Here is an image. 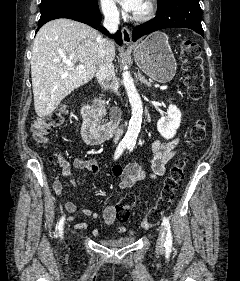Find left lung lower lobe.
Listing matches in <instances>:
<instances>
[{
	"label": "left lung lower lobe",
	"mask_w": 240,
	"mask_h": 281,
	"mask_svg": "<svg viewBox=\"0 0 240 281\" xmlns=\"http://www.w3.org/2000/svg\"><path fill=\"white\" fill-rule=\"evenodd\" d=\"M170 27L189 28L204 36L199 0L162 1L158 4L155 18L135 27L132 38L133 41H136L143 35Z\"/></svg>",
	"instance_id": "0a47b994"
}]
</instances>
